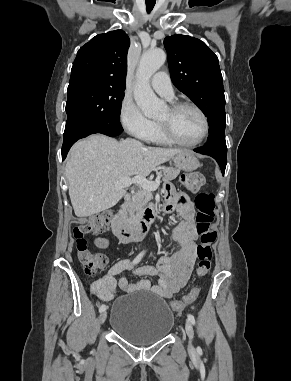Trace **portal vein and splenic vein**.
<instances>
[{"label": "portal vein and splenic vein", "mask_w": 291, "mask_h": 381, "mask_svg": "<svg viewBox=\"0 0 291 381\" xmlns=\"http://www.w3.org/2000/svg\"><path fill=\"white\" fill-rule=\"evenodd\" d=\"M160 178L161 176H158L156 181H150L144 177H126L123 179H120L114 183V186L116 189H121L125 187H129L132 184H138L140 185L143 189L150 190V191H155L158 189L160 185Z\"/></svg>", "instance_id": "obj_1"}]
</instances>
